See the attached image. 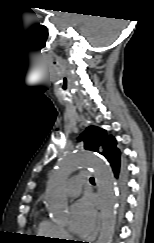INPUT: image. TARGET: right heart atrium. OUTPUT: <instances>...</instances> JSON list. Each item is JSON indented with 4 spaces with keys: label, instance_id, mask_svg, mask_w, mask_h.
<instances>
[{
    "label": "right heart atrium",
    "instance_id": "d8ad5b80",
    "mask_svg": "<svg viewBox=\"0 0 154 243\" xmlns=\"http://www.w3.org/2000/svg\"><path fill=\"white\" fill-rule=\"evenodd\" d=\"M60 235H61V237H67L68 235H67V232L64 230V229H60Z\"/></svg>",
    "mask_w": 154,
    "mask_h": 243
}]
</instances>
